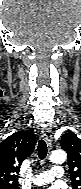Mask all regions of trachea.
Here are the masks:
<instances>
[{"label":"trachea","mask_w":81,"mask_h":189,"mask_svg":"<svg viewBox=\"0 0 81 189\" xmlns=\"http://www.w3.org/2000/svg\"><path fill=\"white\" fill-rule=\"evenodd\" d=\"M38 156L40 159H45V157L47 156V145L45 143V141L43 139H40L38 142Z\"/></svg>","instance_id":"3493384b"}]
</instances>
